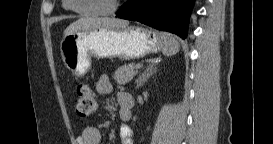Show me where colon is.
<instances>
[{
    "label": "colon",
    "mask_w": 273,
    "mask_h": 144,
    "mask_svg": "<svg viewBox=\"0 0 273 144\" xmlns=\"http://www.w3.org/2000/svg\"><path fill=\"white\" fill-rule=\"evenodd\" d=\"M97 99L95 91L87 84L77 86L76 112L81 117H86L95 112Z\"/></svg>",
    "instance_id": "5ec220e1"
}]
</instances>
